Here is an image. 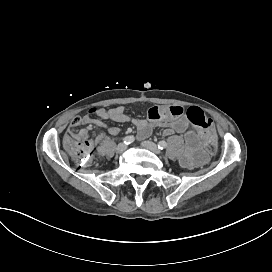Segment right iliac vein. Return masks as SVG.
Listing matches in <instances>:
<instances>
[{
    "instance_id": "1",
    "label": "right iliac vein",
    "mask_w": 272,
    "mask_h": 272,
    "mask_svg": "<svg viewBox=\"0 0 272 272\" xmlns=\"http://www.w3.org/2000/svg\"><path fill=\"white\" fill-rule=\"evenodd\" d=\"M126 149H127V145L124 143H120L116 148V152L123 153Z\"/></svg>"
}]
</instances>
